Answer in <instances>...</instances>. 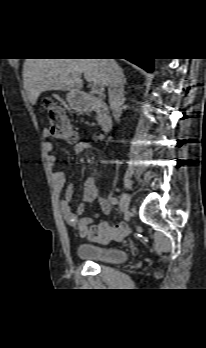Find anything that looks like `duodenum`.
<instances>
[{
  "mask_svg": "<svg viewBox=\"0 0 206 348\" xmlns=\"http://www.w3.org/2000/svg\"><path fill=\"white\" fill-rule=\"evenodd\" d=\"M82 103L84 111H96L99 115V121L103 132H109L113 128V121L109 115V105L102 99L90 95L78 97Z\"/></svg>",
  "mask_w": 206,
  "mask_h": 348,
  "instance_id": "duodenum-1",
  "label": "duodenum"
}]
</instances>
